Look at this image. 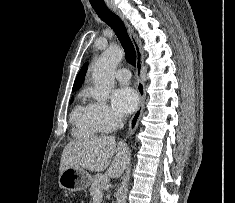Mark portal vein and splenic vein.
<instances>
[{"mask_svg": "<svg viewBox=\"0 0 235 203\" xmlns=\"http://www.w3.org/2000/svg\"><path fill=\"white\" fill-rule=\"evenodd\" d=\"M102 197H103V193L100 190H98V191H96L95 195L93 196V199L100 200Z\"/></svg>", "mask_w": 235, "mask_h": 203, "instance_id": "18ae733b", "label": "portal vein and splenic vein"}]
</instances>
